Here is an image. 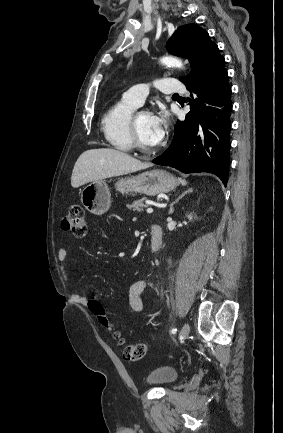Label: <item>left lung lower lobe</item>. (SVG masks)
Instances as JSON below:
<instances>
[{"label": "left lung lower lobe", "mask_w": 283, "mask_h": 433, "mask_svg": "<svg viewBox=\"0 0 283 433\" xmlns=\"http://www.w3.org/2000/svg\"><path fill=\"white\" fill-rule=\"evenodd\" d=\"M216 44L195 62L183 82L197 98L184 121H177L171 145L152 160L184 173L209 172L226 186L229 175L231 88ZM193 99V95L191 94Z\"/></svg>", "instance_id": "obj_1"}]
</instances>
